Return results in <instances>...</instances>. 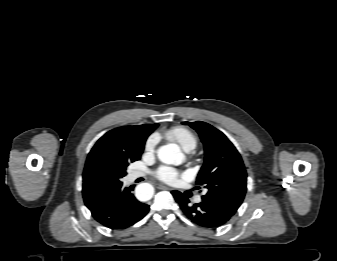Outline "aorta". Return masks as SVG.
Segmentation results:
<instances>
[{"instance_id":"obj_1","label":"aorta","mask_w":337,"mask_h":261,"mask_svg":"<svg viewBox=\"0 0 337 261\" xmlns=\"http://www.w3.org/2000/svg\"><path fill=\"white\" fill-rule=\"evenodd\" d=\"M159 160L165 164L180 165L185 159L177 144H167L157 150ZM154 189L149 183H141L135 189L136 197L141 201L152 198Z\"/></svg>"}]
</instances>
